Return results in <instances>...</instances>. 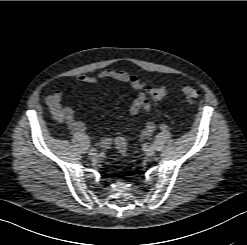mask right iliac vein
Wrapping results in <instances>:
<instances>
[{
    "label": "right iliac vein",
    "instance_id": "right-iliac-vein-1",
    "mask_svg": "<svg viewBox=\"0 0 247 245\" xmlns=\"http://www.w3.org/2000/svg\"><path fill=\"white\" fill-rule=\"evenodd\" d=\"M89 157H91V158H96V157H97V153H96V152L90 151V152H89Z\"/></svg>",
    "mask_w": 247,
    "mask_h": 245
}]
</instances>
